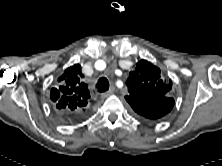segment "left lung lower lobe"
Instances as JSON below:
<instances>
[{
    "instance_id": "0a47b994",
    "label": "left lung lower lobe",
    "mask_w": 222,
    "mask_h": 166,
    "mask_svg": "<svg viewBox=\"0 0 222 166\" xmlns=\"http://www.w3.org/2000/svg\"><path fill=\"white\" fill-rule=\"evenodd\" d=\"M162 105H163L162 109H157V112L149 113V115H147L149 117L148 120H158L162 118L163 116H165L166 114H168L173 108L174 99L171 97H166L163 99Z\"/></svg>"
}]
</instances>
